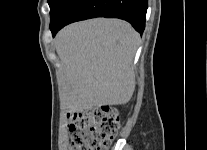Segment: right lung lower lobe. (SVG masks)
<instances>
[{"label": "right lung lower lobe", "mask_w": 207, "mask_h": 150, "mask_svg": "<svg viewBox=\"0 0 207 150\" xmlns=\"http://www.w3.org/2000/svg\"><path fill=\"white\" fill-rule=\"evenodd\" d=\"M148 0H68L50 22L52 35L65 25L94 17L119 18L143 33Z\"/></svg>", "instance_id": "98d812e1"}]
</instances>
